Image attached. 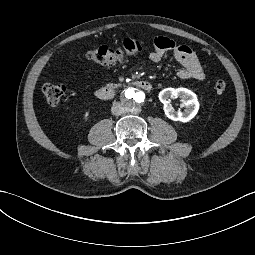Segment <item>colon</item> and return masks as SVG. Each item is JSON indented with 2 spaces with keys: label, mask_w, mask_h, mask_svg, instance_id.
Segmentation results:
<instances>
[{
  "label": "colon",
  "mask_w": 255,
  "mask_h": 255,
  "mask_svg": "<svg viewBox=\"0 0 255 255\" xmlns=\"http://www.w3.org/2000/svg\"><path fill=\"white\" fill-rule=\"evenodd\" d=\"M142 51V44L134 39L124 40L121 48L113 49L108 46H98L87 52V57L97 63L110 65L124 60L127 57L138 54ZM214 88L217 93H222L226 89V83L223 80H217ZM43 94L49 105H57L67 92L63 83H47L42 88Z\"/></svg>",
  "instance_id": "5ec220e1"
}]
</instances>
